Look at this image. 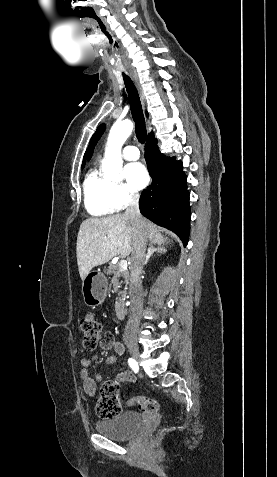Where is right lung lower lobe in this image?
I'll return each mask as SVG.
<instances>
[{"instance_id": "right-lung-lower-lobe-1", "label": "right lung lower lobe", "mask_w": 277, "mask_h": 477, "mask_svg": "<svg viewBox=\"0 0 277 477\" xmlns=\"http://www.w3.org/2000/svg\"><path fill=\"white\" fill-rule=\"evenodd\" d=\"M145 159L152 184L140 196V212L154 223L175 232L186 246L191 210L182 163L160 153L155 137L147 140Z\"/></svg>"}]
</instances>
